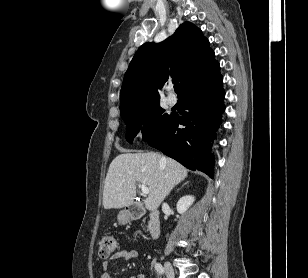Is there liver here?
<instances>
[{"label": "liver", "mask_w": 308, "mask_h": 278, "mask_svg": "<svg viewBox=\"0 0 308 278\" xmlns=\"http://www.w3.org/2000/svg\"><path fill=\"white\" fill-rule=\"evenodd\" d=\"M186 176L187 169L184 166L159 153L120 154L108 169L103 206L105 209H119L131 205L136 196V183L140 182L149 188L144 204L153 211Z\"/></svg>", "instance_id": "liver-1"}]
</instances>
